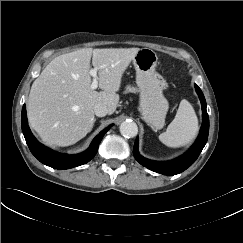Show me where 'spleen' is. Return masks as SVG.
Masks as SVG:
<instances>
[{"label":"spleen","instance_id":"1","mask_svg":"<svg viewBox=\"0 0 243 243\" xmlns=\"http://www.w3.org/2000/svg\"><path fill=\"white\" fill-rule=\"evenodd\" d=\"M198 131V119L192 105L187 100L179 104L174 120L166 131L159 135V140L168 147H181L191 142Z\"/></svg>","mask_w":243,"mask_h":243}]
</instances>
